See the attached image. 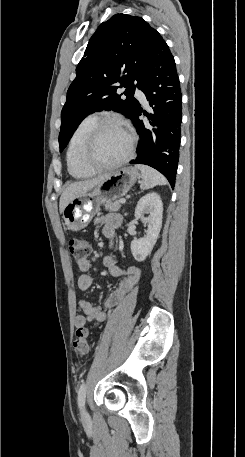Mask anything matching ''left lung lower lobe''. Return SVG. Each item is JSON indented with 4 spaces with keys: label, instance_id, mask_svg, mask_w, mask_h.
Here are the masks:
<instances>
[{
    "label": "left lung lower lobe",
    "instance_id": "obj_1",
    "mask_svg": "<svg viewBox=\"0 0 245 457\" xmlns=\"http://www.w3.org/2000/svg\"><path fill=\"white\" fill-rule=\"evenodd\" d=\"M153 109L148 114L139 105L132 121L140 136L137 157L131 164H146L160 171L175 185L182 122V95L174 57L163 39L156 44L138 87ZM144 114L149 124L139 116Z\"/></svg>",
    "mask_w": 245,
    "mask_h": 457
}]
</instances>
